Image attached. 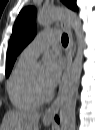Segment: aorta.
<instances>
[{
	"instance_id": "obj_1",
	"label": "aorta",
	"mask_w": 95,
	"mask_h": 130,
	"mask_svg": "<svg viewBox=\"0 0 95 130\" xmlns=\"http://www.w3.org/2000/svg\"><path fill=\"white\" fill-rule=\"evenodd\" d=\"M55 21L68 22L77 38V50L60 92V130H75L76 101L82 73L83 51L85 49L82 23L76 13L64 8H49L37 16V24L46 26Z\"/></svg>"
}]
</instances>
